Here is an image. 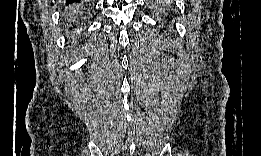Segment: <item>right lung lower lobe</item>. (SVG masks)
Returning a JSON list of instances; mask_svg holds the SVG:
<instances>
[{"label": "right lung lower lobe", "instance_id": "obj_1", "mask_svg": "<svg viewBox=\"0 0 261 156\" xmlns=\"http://www.w3.org/2000/svg\"><path fill=\"white\" fill-rule=\"evenodd\" d=\"M66 16L72 20H77L85 7V3L80 0H66Z\"/></svg>", "mask_w": 261, "mask_h": 156}]
</instances>
